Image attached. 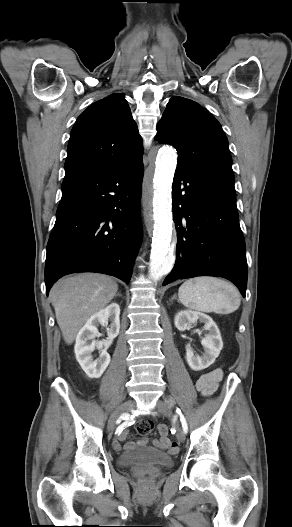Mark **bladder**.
<instances>
[{
    "label": "bladder",
    "instance_id": "obj_1",
    "mask_svg": "<svg viewBox=\"0 0 292 527\" xmlns=\"http://www.w3.org/2000/svg\"><path fill=\"white\" fill-rule=\"evenodd\" d=\"M118 464L121 467L133 465H159L170 466L172 458L166 452L148 447H135L123 452Z\"/></svg>",
    "mask_w": 292,
    "mask_h": 527
}]
</instances>
